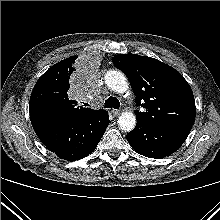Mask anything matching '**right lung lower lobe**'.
<instances>
[{"label": "right lung lower lobe", "mask_w": 220, "mask_h": 220, "mask_svg": "<svg viewBox=\"0 0 220 220\" xmlns=\"http://www.w3.org/2000/svg\"><path fill=\"white\" fill-rule=\"evenodd\" d=\"M109 122L105 110L71 121L50 116L31 119L35 133L47 149L67 161L80 160L90 154Z\"/></svg>", "instance_id": "1"}]
</instances>
